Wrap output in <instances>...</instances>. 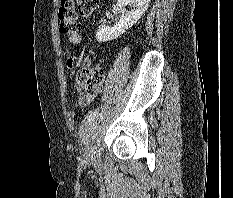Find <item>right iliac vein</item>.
Segmentation results:
<instances>
[{"label": "right iliac vein", "mask_w": 233, "mask_h": 198, "mask_svg": "<svg viewBox=\"0 0 233 198\" xmlns=\"http://www.w3.org/2000/svg\"><path fill=\"white\" fill-rule=\"evenodd\" d=\"M88 150H89V153L91 155V159L94 162H99V156L91 145L89 146Z\"/></svg>", "instance_id": "1"}]
</instances>
